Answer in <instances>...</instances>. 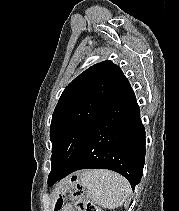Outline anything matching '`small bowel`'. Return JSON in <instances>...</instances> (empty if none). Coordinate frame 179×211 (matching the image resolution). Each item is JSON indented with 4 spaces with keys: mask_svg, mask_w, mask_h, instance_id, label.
Segmentation results:
<instances>
[{
    "mask_svg": "<svg viewBox=\"0 0 179 211\" xmlns=\"http://www.w3.org/2000/svg\"><path fill=\"white\" fill-rule=\"evenodd\" d=\"M64 211H75V209L72 208L71 206H66V208L64 209Z\"/></svg>",
    "mask_w": 179,
    "mask_h": 211,
    "instance_id": "1",
    "label": "small bowel"
}]
</instances>
